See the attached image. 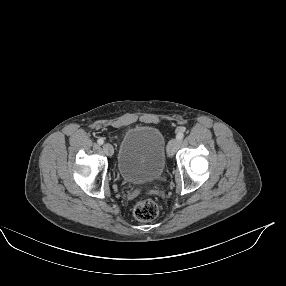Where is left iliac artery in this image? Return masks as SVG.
I'll return each mask as SVG.
<instances>
[{
	"mask_svg": "<svg viewBox=\"0 0 286 286\" xmlns=\"http://www.w3.org/2000/svg\"><path fill=\"white\" fill-rule=\"evenodd\" d=\"M176 138H177L179 141L182 140V139L184 138V132H183V131L178 132Z\"/></svg>",
	"mask_w": 286,
	"mask_h": 286,
	"instance_id": "44dca946",
	"label": "left iliac artery"
}]
</instances>
